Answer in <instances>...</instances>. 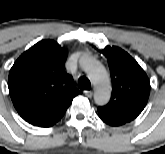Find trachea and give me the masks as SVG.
<instances>
[{"mask_svg": "<svg viewBox=\"0 0 165 154\" xmlns=\"http://www.w3.org/2000/svg\"><path fill=\"white\" fill-rule=\"evenodd\" d=\"M91 84L88 78L86 77H81L78 80V88L83 89V90H90Z\"/></svg>", "mask_w": 165, "mask_h": 154, "instance_id": "3493384b", "label": "trachea"}]
</instances>
